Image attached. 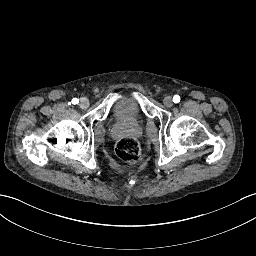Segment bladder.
Wrapping results in <instances>:
<instances>
[{
	"label": "bladder",
	"mask_w": 256,
	"mask_h": 256,
	"mask_svg": "<svg viewBox=\"0 0 256 256\" xmlns=\"http://www.w3.org/2000/svg\"><path fill=\"white\" fill-rule=\"evenodd\" d=\"M115 116L120 122L131 120L139 121L140 112L131 100L119 102L115 108Z\"/></svg>",
	"instance_id": "1"
}]
</instances>
